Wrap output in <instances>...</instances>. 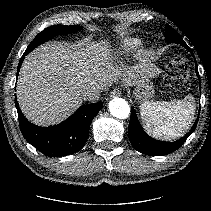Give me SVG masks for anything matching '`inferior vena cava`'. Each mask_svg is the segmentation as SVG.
<instances>
[{
  "mask_svg": "<svg viewBox=\"0 0 211 211\" xmlns=\"http://www.w3.org/2000/svg\"><path fill=\"white\" fill-rule=\"evenodd\" d=\"M100 91L97 88H89L83 92V98L89 102H97L100 97Z\"/></svg>",
  "mask_w": 211,
  "mask_h": 211,
  "instance_id": "inferior-vena-cava-1",
  "label": "inferior vena cava"
}]
</instances>
